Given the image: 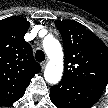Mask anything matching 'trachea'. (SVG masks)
I'll list each match as a JSON object with an SVG mask.
<instances>
[{"label": "trachea", "mask_w": 108, "mask_h": 108, "mask_svg": "<svg viewBox=\"0 0 108 108\" xmlns=\"http://www.w3.org/2000/svg\"><path fill=\"white\" fill-rule=\"evenodd\" d=\"M35 59L38 62H42L45 60V54L42 50H38L35 54Z\"/></svg>", "instance_id": "1"}]
</instances>
